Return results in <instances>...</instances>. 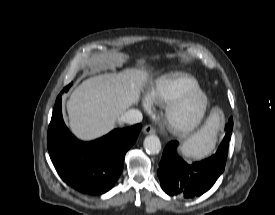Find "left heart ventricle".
<instances>
[{"instance_id": "1", "label": "left heart ventricle", "mask_w": 275, "mask_h": 215, "mask_svg": "<svg viewBox=\"0 0 275 215\" xmlns=\"http://www.w3.org/2000/svg\"><path fill=\"white\" fill-rule=\"evenodd\" d=\"M198 99H192L186 103L176 114V118L181 123L191 121L198 111Z\"/></svg>"}]
</instances>
